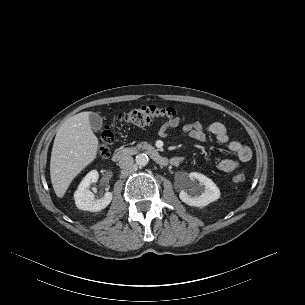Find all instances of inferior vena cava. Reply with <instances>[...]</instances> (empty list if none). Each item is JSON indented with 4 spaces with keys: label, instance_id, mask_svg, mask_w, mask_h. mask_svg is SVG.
I'll return each mask as SVG.
<instances>
[{
    "label": "inferior vena cava",
    "instance_id": "602c4592",
    "mask_svg": "<svg viewBox=\"0 0 305 305\" xmlns=\"http://www.w3.org/2000/svg\"><path fill=\"white\" fill-rule=\"evenodd\" d=\"M134 159L130 155L122 156L119 160V167L121 169H132L133 168Z\"/></svg>",
    "mask_w": 305,
    "mask_h": 305
}]
</instances>
